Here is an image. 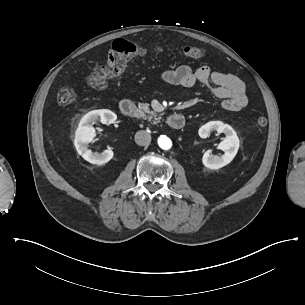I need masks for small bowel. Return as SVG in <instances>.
I'll return each instance as SVG.
<instances>
[{"instance_id": "1", "label": "small bowel", "mask_w": 305, "mask_h": 305, "mask_svg": "<svg viewBox=\"0 0 305 305\" xmlns=\"http://www.w3.org/2000/svg\"><path fill=\"white\" fill-rule=\"evenodd\" d=\"M108 64L115 62L113 55L106 57ZM160 80L169 85L191 87L201 83L211 89L213 95L222 101V107L228 111H240L248 103L246 87L238 77L213 71L208 65L191 68L181 65L175 69L165 70Z\"/></svg>"}]
</instances>
